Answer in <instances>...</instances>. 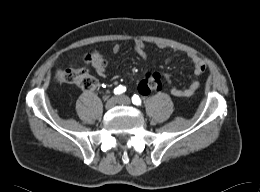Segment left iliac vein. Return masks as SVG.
<instances>
[{"label":"left iliac vein","instance_id":"obj_1","mask_svg":"<svg viewBox=\"0 0 260 192\" xmlns=\"http://www.w3.org/2000/svg\"><path fill=\"white\" fill-rule=\"evenodd\" d=\"M118 103L122 105H129L131 103V100L129 97L122 95L118 97Z\"/></svg>","mask_w":260,"mask_h":192}]
</instances>
